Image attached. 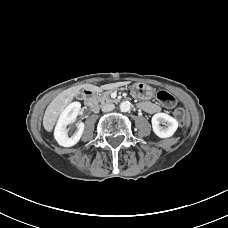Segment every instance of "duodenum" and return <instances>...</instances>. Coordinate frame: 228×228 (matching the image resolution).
<instances>
[{
    "label": "duodenum",
    "mask_w": 228,
    "mask_h": 228,
    "mask_svg": "<svg viewBox=\"0 0 228 228\" xmlns=\"http://www.w3.org/2000/svg\"><path fill=\"white\" fill-rule=\"evenodd\" d=\"M84 100L86 105L93 111L98 109V102L93 88L88 87L84 90Z\"/></svg>",
    "instance_id": "1"
}]
</instances>
